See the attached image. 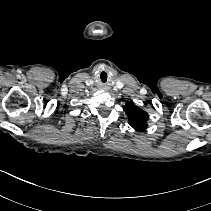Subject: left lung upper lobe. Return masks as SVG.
Returning <instances> with one entry per match:
<instances>
[{
	"label": "left lung upper lobe",
	"instance_id": "obj_1",
	"mask_svg": "<svg viewBox=\"0 0 211 211\" xmlns=\"http://www.w3.org/2000/svg\"><path fill=\"white\" fill-rule=\"evenodd\" d=\"M125 113L128 116L129 124L137 131H143L147 128L148 114L137 107L133 102L125 105Z\"/></svg>",
	"mask_w": 211,
	"mask_h": 211
}]
</instances>
